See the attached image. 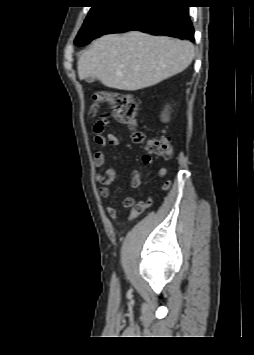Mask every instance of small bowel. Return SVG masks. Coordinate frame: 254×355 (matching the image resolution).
<instances>
[{"mask_svg": "<svg viewBox=\"0 0 254 355\" xmlns=\"http://www.w3.org/2000/svg\"><path fill=\"white\" fill-rule=\"evenodd\" d=\"M103 120L105 122V127H104L105 129L106 126L108 125V120L107 119H103ZM97 127L98 124L96 126V129ZM94 142L99 147V150H97L94 155V162L96 167L100 169V172L95 175V181L98 184H100L99 196L102 199H107L110 196L109 186L115 181L121 180L122 177L118 175L117 171L114 168L105 166L104 148H106L107 145L119 146L120 141L115 134L113 133L103 134L102 130L97 129V133L94 136ZM143 162L150 165L154 164L153 158L147 155L143 157ZM157 175L160 178H163L166 175V169L164 167H158ZM140 184H141L140 173L137 170H134L130 175V185L132 188H138ZM122 206L123 208H132V211L129 215V220H134L137 217V215L141 212V208L144 206V204L136 205L135 199L133 197H127L123 201ZM105 212L111 220L117 221V211L115 208L111 206H106Z\"/></svg>", "mask_w": 254, "mask_h": 355, "instance_id": "c3829d8e", "label": "small bowel"}]
</instances>
